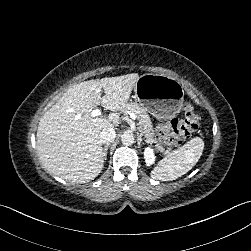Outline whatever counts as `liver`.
I'll return each mask as SVG.
<instances>
[{
	"mask_svg": "<svg viewBox=\"0 0 251 251\" xmlns=\"http://www.w3.org/2000/svg\"><path fill=\"white\" fill-rule=\"evenodd\" d=\"M138 78L137 73H131L75 84L44 113L38 124L36 148L50 173L80 184L99 175L104 162L99 134L104 128L117 126L119 116L99 118L91 112L98 105L121 111Z\"/></svg>",
	"mask_w": 251,
	"mask_h": 251,
	"instance_id": "6515ba94",
	"label": "liver"
}]
</instances>
